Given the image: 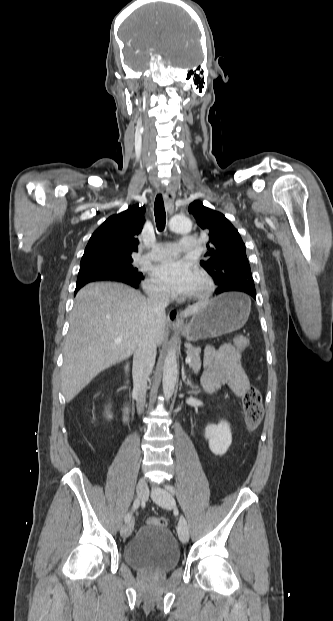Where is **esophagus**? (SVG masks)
Listing matches in <instances>:
<instances>
[{
  "mask_svg": "<svg viewBox=\"0 0 333 621\" xmlns=\"http://www.w3.org/2000/svg\"><path fill=\"white\" fill-rule=\"evenodd\" d=\"M176 186L169 185L164 193V202L166 209L172 213L174 211V200L176 195ZM168 322L171 326L183 325V319L176 310H172L168 316Z\"/></svg>",
  "mask_w": 333,
  "mask_h": 621,
  "instance_id": "esophagus-1",
  "label": "esophagus"
}]
</instances>
